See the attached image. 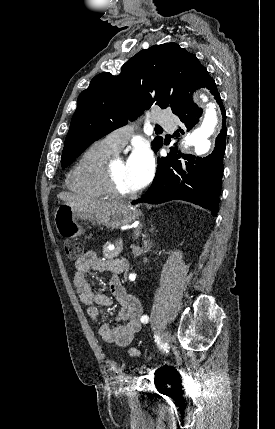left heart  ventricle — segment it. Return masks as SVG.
<instances>
[{
  "instance_id": "b2bd125f",
  "label": "left heart ventricle",
  "mask_w": 275,
  "mask_h": 429,
  "mask_svg": "<svg viewBox=\"0 0 275 429\" xmlns=\"http://www.w3.org/2000/svg\"><path fill=\"white\" fill-rule=\"evenodd\" d=\"M111 167L119 190L125 193L136 191L130 182L125 161L115 160L111 163Z\"/></svg>"
}]
</instances>
